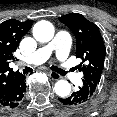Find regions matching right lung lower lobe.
Here are the masks:
<instances>
[{"label":"right lung lower lobe","instance_id":"right-lung-lower-lobe-1","mask_svg":"<svg viewBox=\"0 0 117 117\" xmlns=\"http://www.w3.org/2000/svg\"><path fill=\"white\" fill-rule=\"evenodd\" d=\"M24 79L25 77L21 76L12 82L5 94L0 97V105L10 108L19 105L26 90Z\"/></svg>","mask_w":117,"mask_h":117}]
</instances>
